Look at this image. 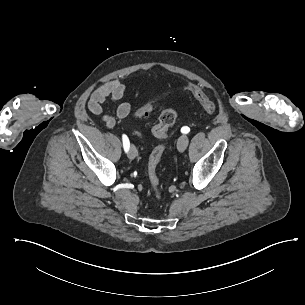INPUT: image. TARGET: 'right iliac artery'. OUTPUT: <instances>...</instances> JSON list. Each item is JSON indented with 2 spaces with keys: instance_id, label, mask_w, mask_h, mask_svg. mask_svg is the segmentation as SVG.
I'll return each instance as SVG.
<instances>
[{
  "instance_id": "right-iliac-artery-1",
  "label": "right iliac artery",
  "mask_w": 305,
  "mask_h": 305,
  "mask_svg": "<svg viewBox=\"0 0 305 305\" xmlns=\"http://www.w3.org/2000/svg\"><path fill=\"white\" fill-rule=\"evenodd\" d=\"M122 137H123V147H124L125 152H127L129 150L130 142L126 135L123 134Z\"/></svg>"
}]
</instances>
